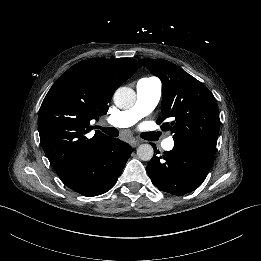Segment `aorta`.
I'll return each instance as SVG.
<instances>
[{
	"label": "aorta",
	"instance_id": "aorta-1",
	"mask_svg": "<svg viewBox=\"0 0 261 261\" xmlns=\"http://www.w3.org/2000/svg\"><path fill=\"white\" fill-rule=\"evenodd\" d=\"M136 92L129 87L118 88L113 96L115 105L120 109H129L136 102ZM154 155V150L149 144H142L137 149V156L140 160L149 161Z\"/></svg>",
	"mask_w": 261,
	"mask_h": 261
}]
</instances>
